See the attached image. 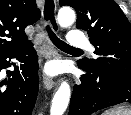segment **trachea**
Segmentation results:
<instances>
[{"mask_svg": "<svg viewBox=\"0 0 131 115\" xmlns=\"http://www.w3.org/2000/svg\"><path fill=\"white\" fill-rule=\"evenodd\" d=\"M46 30H47V34L50 38V40L53 42V44L58 47L59 49H70V50H78V51H82L79 48H75L72 47L70 45H68L66 42L60 40L55 33L51 30V28L49 27V25L46 26Z\"/></svg>", "mask_w": 131, "mask_h": 115, "instance_id": "1", "label": "trachea"}]
</instances>
